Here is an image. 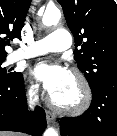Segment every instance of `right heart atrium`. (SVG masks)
I'll list each match as a JSON object with an SVG mask.
<instances>
[{"instance_id": "1", "label": "right heart atrium", "mask_w": 117, "mask_h": 136, "mask_svg": "<svg viewBox=\"0 0 117 136\" xmlns=\"http://www.w3.org/2000/svg\"><path fill=\"white\" fill-rule=\"evenodd\" d=\"M38 93V86L34 83H30V85L27 88V97L29 99H34L37 96Z\"/></svg>"}]
</instances>
